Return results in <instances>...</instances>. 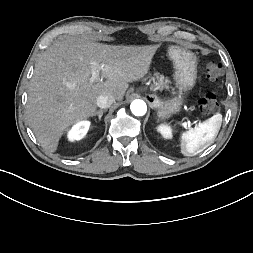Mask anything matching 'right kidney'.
Listing matches in <instances>:
<instances>
[{"label":"right kidney","instance_id":"obj_1","mask_svg":"<svg viewBox=\"0 0 253 253\" xmlns=\"http://www.w3.org/2000/svg\"><path fill=\"white\" fill-rule=\"evenodd\" d=\"M89 126L90 123L87 121L77 123L68 133L69 140L74 141L82 139L86 135Z\"/></svg>","mask_w":253,"mask_h":253}]
</instances>
